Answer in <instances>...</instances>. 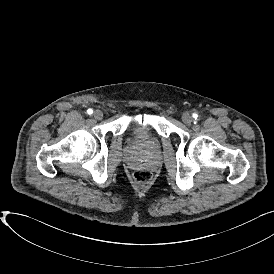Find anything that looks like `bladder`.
Instances as JSON below:
<instances>
[{"mask_svg": "<svg viewBox=\"0 0 274 274\" xmlns=\"http://www.w3.org/2000/svg\"><path fill=\"white\" fill-rule=\"evenodd\" d=\"M143 129L144 128L142 127V125H139L138 123H136L132 126L131 130H132L133 134L138 135L143 131Z\"/></svg>", "mask_w": 274, "mask_h": 274, "instance_id": "bladder-1", "label": "bladder"}]
</instances>
